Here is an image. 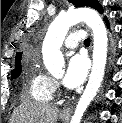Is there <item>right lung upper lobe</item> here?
Masks as SVG:
<instances>
[{"label": "right lung upper lobe", "instance_id": "obj_1", "mask_svg": "<svg viewBox=\"0 0 122 123\" xmlns=\"http://www.w3.org/2000/svg\"><path fill=\"white\" fill-rule=\"evenodd\" d=\"M21 57H22V53L17 52L15 56V66L21 65Z\"/></svg>", "mask_w": 122, "mask_h": 123}]
</instances>
